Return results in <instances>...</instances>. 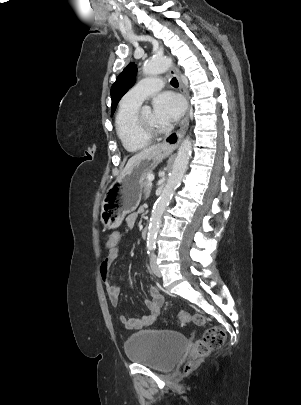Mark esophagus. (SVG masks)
<instances>
[{
	"mask_svg": "<svg viewBox=\"0 0 301 405\" xmlns=\"http://www.w3.org/2000/svg\"><path fill=\"white\" fill-rule=\"evenodd\" d=\"M169 72L171 74H174L176 76V78L179 81L180 84V88L182 90L183 95L185 96V99L187 101V111L185 114V117L183 118V120L181 121L180 124V129L178 131H176L175 133H171L168 136L165 137V139L163 140L161 146L164 148H168V149H174L176 148L179 143L181 142L182 138L184 137L187 129H188V125H189V94L187 89L185 88L182 79H181V74L179 72V70L172 65L169 68Z\"/></svg>",
	"mask_w": 301,
	"mask_h": 405,
	"instance_id": "obj_1",
	"label": "esophagus"
}]
</instances>
